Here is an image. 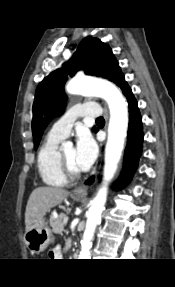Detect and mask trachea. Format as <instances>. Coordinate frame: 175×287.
Returning <instances> with one entry per match:
<instances>
[{"label": "trachea", "mask_w": 175, "mask_h": 287, "mask_svg": "<svg viewBox=\"0 0 175 287\" xmlns=\"http://www.w3.org/2000/svg\"><path fill=\"white\" fill-rule=\"evenodd\" d=\"M96 122L97 123H104L105 121H104L103 117H99V118L96 119Z\"/></svg>", "instance_id": "obj_1"}]
</instances>
